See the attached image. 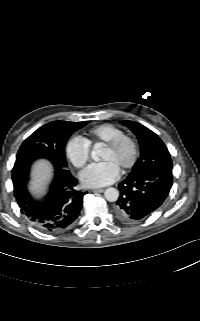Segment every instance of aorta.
<instances>
[{"label": "aorta", "instance_id": "1", "mask_svg": "<svg viewBox=\"0 0 200 321\" xmlns=\"http://www.w3.org/2000/svg\"><path fill=\"white\" fill-rule=\"evenodd\" d=\"M91 156L95 160L98 158V149L96 146L94 147L93 151L91 152ZM104 196L108 201L115 202L119 198V191L113 187H110L105 190Z\"/></svg>", "mask_w": 200, "mask_h": 321}]
</instances>
